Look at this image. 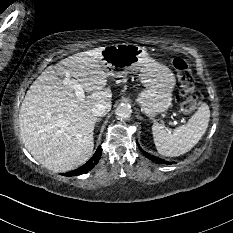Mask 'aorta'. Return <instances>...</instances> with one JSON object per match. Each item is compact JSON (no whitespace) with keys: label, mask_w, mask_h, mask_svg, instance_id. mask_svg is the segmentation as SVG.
I'll return each instance as SVG.
<instances>
[{"label":"aorta","mask_w":233,"mask_h":233,"mask_svg":"<svg viewBox=\"0 0 233 233\" xmlns=\"http://www.w3.org/2000/svg\"><path fill=\"white\" fill-rule=\"evenodd\" d=\"M132 110L128 105H120L115 110L117 119L123 120L128 119L131 116Z\"/></svg>","instance_id":"aorta-1"}]
</instances>
